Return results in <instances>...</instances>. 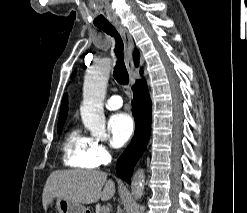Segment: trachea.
Returning a JSON list of instances; mask_svg holds the SVG:
<instances>
[{
    "label": "trachea",
    "mask_w": 247,
    "mask_h": 213,
    "mask_svg": "<svg viewBox=\"0 0 247 213\" xmlns=\"http://www.w3.org/2000/svg\"><path fill=\"white\" fill-rule=\"evenodd\" d=\"M97 27L103 30L108 35L115 38L116 44H115L114 52L117 57V61L114 67L113 77L119 84L123 86H127L129 83V75L124 63V56H123L124 45L120 35L116 31V29L109 23L102 24Z\"/></svg>",
    "instance_id": "3493384b"
}]
</instances>
